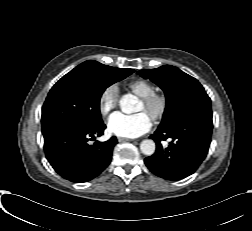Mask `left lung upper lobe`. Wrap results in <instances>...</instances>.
Returning <instances> with one entry per match:
<instances>
[{
    "mask_svg": "<svg viewBox=\"0 0 252 231\" xmlns=\"http://www.w3.org/2000/svg\"><path fill=\"white\" fill-rule=\"evenodd\" d=\"M140 76L156 83L166 96V108L158 129L189 113L211 111V100L202 85L177 67L164 65L140 70Z\"/></svg>",
    "mask_w": 252,
    "mask_h": 231,
    "instance_id": "5c2ea615",
    "label": "left lung upper lobe"
}]
</instances>
